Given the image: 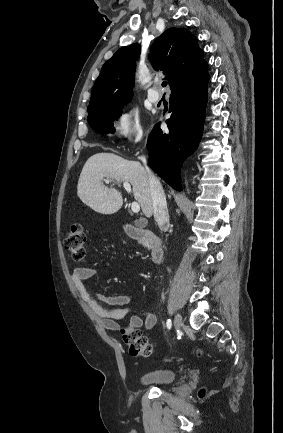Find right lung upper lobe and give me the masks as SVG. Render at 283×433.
Here are the masks:
<instances>
[{
	"mask_svg": "<svg viewBox=\"0 0 283 433\" xmlns=\"http://www.w3.org/2000/svg\"><path fill=\"white\" fill-rule=\"evenodd\" d=\"M197 42L185 28H169L151 47L149 59L155 70L164 72L171 90L188 87L208 75V64ZM139 54L140 46L134 43L119 49L103 65L93 87L88 114L131 100Z\"/></svg>",
	"mask_w": 283,
	"mask_h": 433,
	"instance_id": "right-lung-upper-lobe-1",
	"label": "right lung upper lobe"
}]
</instances>
